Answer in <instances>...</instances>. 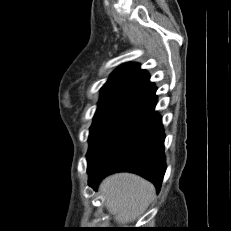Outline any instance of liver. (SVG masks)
I'll use <instances>...</instances> for the list:
<instances>
[{
	"mask_svg": "<svg viewBox=\"0 0 231 231\" xmlns=\"http://www.w3.org/2000/svg\"><path fill=\"white\" fill-rule=\"evenodd\" d=\"M106 207L119 224L140 217L154 198L155 188L147 180L130 173H119L104 179L100 185Z\"/></svg>",
	"mask_w": 231,
	"mask_h": 231,
	"instance_id": "liver-1",
	"label": "liver"
}]
</instances>
